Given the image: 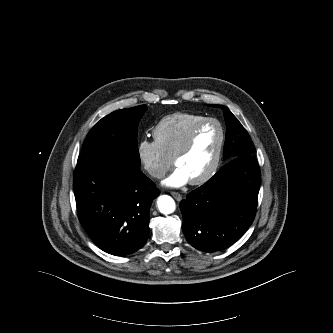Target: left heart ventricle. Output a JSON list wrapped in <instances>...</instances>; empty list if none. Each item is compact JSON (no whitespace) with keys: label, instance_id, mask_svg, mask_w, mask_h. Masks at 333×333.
Listing matches in <instances>:
<instances>
[{"label":"left heart ventricle","instance_id":"left-heart-ventricle-1","mask_svg":"<svg viewBox=\"0 0 333 333\" xmlns=\"http://www.w3.org/2000/svg\"><path fill=\"white\" fill-rule=\"evenodd\" d=\"M220 131L216 124H208L197 133L191 150L180 157L175 165L181 168L189 180L202 176L211 167L218 150Z\"/></svg>","mask_w":333,"mask_h":333}]
</instances>
